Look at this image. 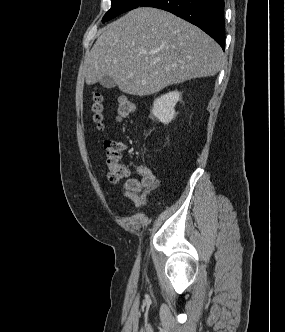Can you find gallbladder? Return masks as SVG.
I'll return each mask as SVG.
<instances>
[{
  "instance_id": "1",
  "label": "gallbladder",
  "mask_w": 285,
  "mask_h": 332,
  "mask_svg": "<svg viewBox=\"0 0 285 332\" xmlns=\"http://www.w3.org/2000/svg\"><path fill=\"white\" fill-rule=\"evenodd\" d=\"M100 84L107 88V89H111L114 88L116 86L115 81L110 77V76H105L100 80Z\"/></svg>"
}]
</instances>
